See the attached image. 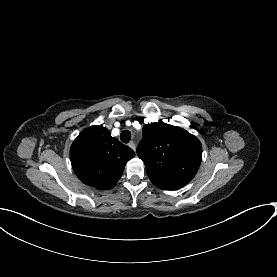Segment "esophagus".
<instances>
[{
    "label": "esophagus",
    "instance_id": "1",
    "mask_svg": "<svg viewBox=\"0 0 277 277\" xmlns=\"http://www.w3.org/2000/svg\"><path fill=\"white\" fill-rule=\"evenodd\" d=\"M134 151H136V145L133 141H130L128 144Z\"/></svg>",
    "mask_w": 277,
    "mask_h": 277
}]
</instances>
